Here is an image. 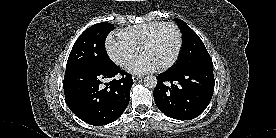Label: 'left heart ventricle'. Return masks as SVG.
Returning <instances> with one entry per match:
<instances>
[{"mask_svg": "<svg viewBox=\"0 0 276 138\" xmlns=\"http://www.w3.org/2000/svg\"><path fill=\"white\" fill-rule=\"evenodd\" d=\"M177 42L175 30L171 27H165L158 34L155 41L142 51V54L148 55L159 66H162L173 57L177 48Z\"/></svg>", "mask_w": 276, "mask_h": 138, "instance_id": "b2bd125f", "label": "left heart ventricle"}]
</instances>
